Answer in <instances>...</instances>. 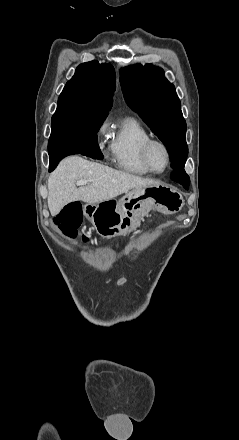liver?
<instances>
[{
  "label": "liver",
  "instance_id": "obj_1",
  "mask_svg": "<svg viewBox=\"0 0 239 440\" xmlns=\"http://www.w3.org/2000/svg\"><path fill=\"white\" fill-rule=\"evenodd\" d=\"M79 180H89L92 184L76 188L75 182ZM161 184L159 180H146L141 176L88 162L80 156H69L60 162L48 178V208L51 216H57L69 202H106L134 188H152Z\"/></svg>",
  "mask_w": 239,
  "mask_h": 440
}]
</instances>
